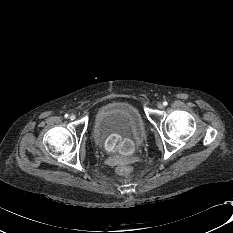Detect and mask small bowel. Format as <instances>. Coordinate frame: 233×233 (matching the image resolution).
<instances>
[{"label":"small bowel","mask_w":233,"mask_h":233,"mask_svg":"<svg viewBox=\"0 0 233 233\" xmlns=\"http://www.w3.org/2000/svg\"><path fill=\"white\" fill-rule=\"evenodd\" d=\"M98 145L103 150H115L122 157H129L134 152V143L122 133H103L98 138Z\"/></svg>","instance_id":"c3829d8e"}]
</instances>
